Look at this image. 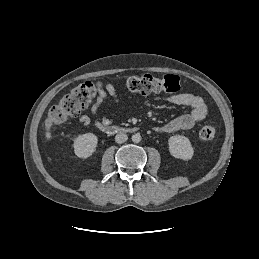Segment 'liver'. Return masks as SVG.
<instances>
[{
  "mask_svg": "<svg viewBox=\"0 0 259 259\" xmlns=\"http://www.w3.org/2000/svg\"><path fill=\"white\" fill-rule=\"evenodd\" d=\"M52 127V120L50 117H48L46 120H45V129L47 130L46 133H45V137L48 141L51 140L52 136H51V132H50V128Z\"/></svg>",
  "mask_w": 259,
  "mask_h": 259,
  "instance_id": "1",
  "label": "liver"
}]
</instances>
